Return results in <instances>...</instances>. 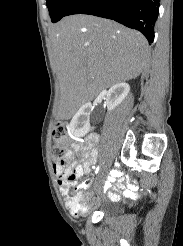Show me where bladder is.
Returning <instances> with one entry per match:
<instances>
[{
  "label": "bladder",
  "mask_w": 183,
  "mask_h": 246,
  "mask_svg": "<svg viewBox=\"0 0 183 246\" xmlns=\"http://www.w3.org/2000/svg\"><path fill=\"white\" fill-rule=\"evenodd\" d=\"M98 210L104 213L105 215H110L117 211V209L114 206L108 203L98 205Z\"/></svg>",
  "instance_id": "1"
}]
</instances>
